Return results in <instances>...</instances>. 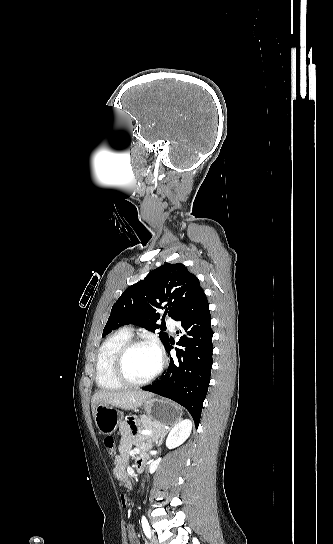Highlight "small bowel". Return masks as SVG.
Instances as JSON below:
<instances>
[{"label": "small bowel", "mask_w": 333, "mask_h": 544, "mask_svg": "<svg viewBox=\"0 0 333 544\" xmlns=\"http://www.w3.org/2000/svg\"><path fill=\"white\" fill-rule=\"evenodd\" d=\"M120 441L118 445V452L113 461V473L116 479L124 487H130V481L127 474V464L129 459V452L131 446L135 440V427L132 422H124L120 425ZM146 444L142 443V447ZM121 506L126 508L129 500L127 496L122 495L120 498ZM128 534L129 544H138V538L135 533V529L132 525L126 527Z\"/></svg>", "instance_id": "c3829d8e"}]
</instances>
